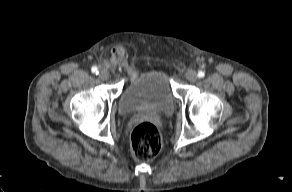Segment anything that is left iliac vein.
I'll use <instances>...</instances> for the list:
<instances>
[{
    "mask_svg": "<svg viewBox=\"0 0 292 192\" xmlns=\"http://www.w3.org/2000/svg\"><path fill=\"white\" fill-rule=\"evenodd\" d=\"M186 78L188 81L193 83L197 80L198 75L194 70H188L186 73Z\"/></svg>",
    "mask_w": 292,
    "mask_h": 192,
    "instance_id": "1",
    "label": "left iliac vein"
}]
</instances>
